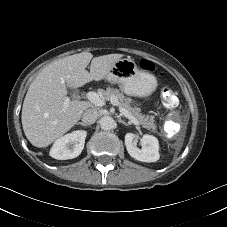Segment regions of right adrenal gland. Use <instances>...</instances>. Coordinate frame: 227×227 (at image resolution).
Instances as JSON below:
<instances>
[{
	"label": "right adrenal gland",
	"instance_id": "2a0ac1e0",
	"mask_svg": "<svg viewBox=\"0 0 227 227\" xmlns=\"http://www.w3.org/2000/svg\"><path fill=\"white\" fill-rule=\"evenodd\" d=\"M77 125L89 126V125H87V124H85V123H82V122H78Z\"/></svg>",
	"mask_w": 227,
	"mask_h": 227
}]
</instances>
